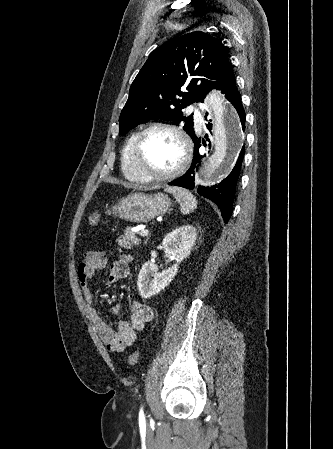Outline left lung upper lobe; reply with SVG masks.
<instances>
[{
	"label": "left lung upper lobe",
	"mask_w": 333,
	"mask_h": 449,
	"mask_svg": "<svg viewBox=\"0 0 333 449\" xmlns=\"http://www.w3.org/2000/svg\"><path fill=\"white\" fill-rule=\"evenodd\" d=\"M232 73L224 45L209 34L196 31L165 42L149 55L133 81L120 115L119 134L143 121L164 119L183 122V129L194 136L193 115L184 116L182 109L203 102Z\"/></svg>",
	"instance_id": "left-lung-upper-lobe-1"
}]
</instances>
